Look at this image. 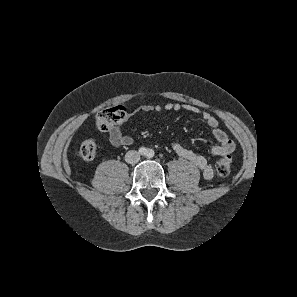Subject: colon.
<instances>
[{
    "label": "colon",
    "mask_w": 297,
    "mask_h": 297,
    "mask_svg": "<svg viewBox=\"0 0 297 297\" xmlns=\"http://www.w3.org/2000/svg\"><path fill=\"white\" fill-rule=\"evenodd\" d=\"M127 115L123 106H115L105 109L97 115V126L102 131H108L120 123ZM97 151V146L92 140L81 142L77 148L78 155L84 160H92ZM232 158L230 155L223 156L216 164V170L220 177H226L231 170Z\"/></svg>",
    "instance_id": "1"
}]
</instances>
